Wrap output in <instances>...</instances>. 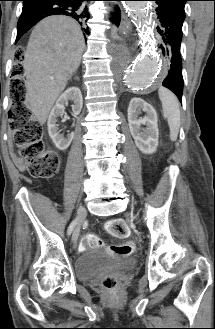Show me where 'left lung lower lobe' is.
Listing matches in <instances>:
<instances>
[{
    "mask_svg": "<svg viewBox=\"0 0 215 329\" xmlns=\"http://www.w3.org/2000/svg\"><path fill=\"white\" fill-rule=\"evenodd\" d=\"M156 3L158 6L155 11L161 23V28L158 27L161 35L159 49L167 62V76L162 85L173 91L182 103L183 76L180 47L185 17L162 2L156 1Z\"/></svg>",
    "mask_w": 215,
    "mask_h": 329,
    "instance_id": "left-lung-lower-lobe-1",
    "label": "left lung lower lobe"
}]
</instances>
